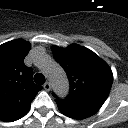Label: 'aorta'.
Returning <instances> with one entry per match:
<instances>
[{
	"label": "aorta",
	"instance_id": "1",
	"mask_svg": "<svg viewBox=\"0 0 128 128\" xmlns=\"http://www.w3.org/2000/svg\"><path fill=\"white\" fill-rule=\"evenodd\" d=\"M39 66L45 70L51 82L54 93L61 98L68 95L69 81L64 70L47 56L40 59Z\"/></svg>",
	"mask_w": 128,
	"mask_h": 128
}]
</instances>
